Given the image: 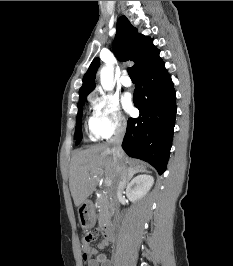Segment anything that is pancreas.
<instances>
[{"label":"pancreas","mask_w":233,"mask_h":266,"mask_svg":"<svg viewBox=\"0 0 233 266\" xmlns=\"http://www.w3.org/2000/svg\"><path fill=\"white\" fill-rule=\"evenodd\" d=\"M96 205L99 209V223L102 224L111 211L112 202L108 196L102 195L96 200Z\"/></svg>","instance_id":"1"}]
</instances>
